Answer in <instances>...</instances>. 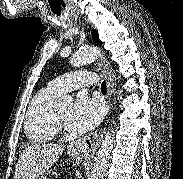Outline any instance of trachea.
Returning a JSON list of instances; mask_svg holds the SVG:
<instances>
[{"mask_svg":"<svg viewBox=\"0 0 183 179\" xmlns=\"http://www.w3.org/2000/svg\"><path fill=\"white\" fill-rule=\"evenodd\" d=\"M55 13H56L57 15H60V12H55ZM106 89H107V88H106V82L103 81L102 84H101V90H102V91H106Z\"/></svg>","mask_w":183,"mask_h":179,"instance_id":"3493384b","label":"trachea"}]
</instances>
